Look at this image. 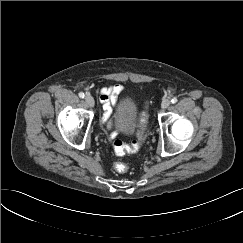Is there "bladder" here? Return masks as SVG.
Instances as JSON below:
<instances>
[{
  "mask_svg": "<svg viewBox=\"0 0 243 243\" xmlns=\"http://www.w3.org/2000/svg\"><path fill=\"white\" fill-rule=\"evenodd\" d=\"M114 117L118 129L125 135L131 134L138 120V108L134 99L127 96L120 100L115 108Z\"/></svg>",
  "mask_w": 243,
  "mask_h": 243,
  "instance_id": "bladder-1",
  "label": "bladder"
}]
</instances>
